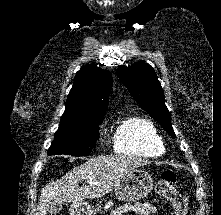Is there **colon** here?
I'll return each instance as SVG.
<instances>
[{"mask_svg": "<svg viewBox=\"0 0 221 215\" xmlns=\"http://www.w3.org/2000/svg\"><path fill=\"white\" fill-rule=\"evenodd\" d=\"M178 177L174 171L166 170L157 182L156 191L172 207L174 215H187L188 202L177 189Z\"/></svg>", "mask_w": 221, "mask_h": 215, "instance_id": "1", "label": "colon"}]
</instances>
